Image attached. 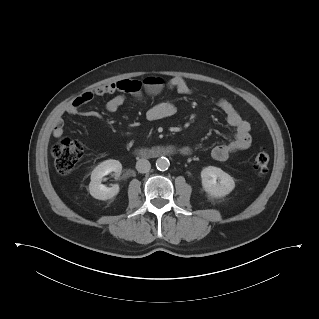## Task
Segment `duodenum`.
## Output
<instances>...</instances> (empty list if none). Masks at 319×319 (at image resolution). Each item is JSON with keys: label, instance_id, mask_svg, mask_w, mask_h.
Returning a JSON list of instances; mask_svg holds the SVG:
<instances>
[{"label": "duodenum", "instance_id": "duodenum-1", "mask_svg": "<svg viewBox=\"0 0 319 319\" xmlns=\"http://www.w3.org/2000/svg\"><path fill=\"white\" fill-rule=\"evenodd\" d=\"M135 153L140 157L168 156L172 153V148L170 146L136 148Z\"/></svg>", "mask_w": 319, "mask_h": 319}]
</instances>
